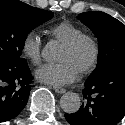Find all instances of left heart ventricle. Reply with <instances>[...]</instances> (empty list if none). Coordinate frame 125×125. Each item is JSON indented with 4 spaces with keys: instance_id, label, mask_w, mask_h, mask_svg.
<instances>
[{
    "instance_id": "1",
    "label": "left heart ventricle",
    "mask_w": 125,
    "mask_h": 125,
    "mask_svg": "<svg viewBox=\"0 0 125 125\" xmlns=\"http://www.w3.org/2000/svg\"><path fill=\"white\" fill-rule=\"evenodd\" d=\"M92 55V47L87 41H83L74 49L60 48L57 59L59 61L66 60L80 72L89 62Z\"/></svg>"
}]
</instances>
